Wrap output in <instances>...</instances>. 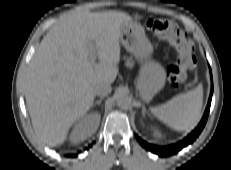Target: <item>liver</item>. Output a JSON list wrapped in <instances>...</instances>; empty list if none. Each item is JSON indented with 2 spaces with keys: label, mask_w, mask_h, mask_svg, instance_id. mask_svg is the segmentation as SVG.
I'll return each mask as SVG.
<instances>
[{
  "label": "liver",
  "mask_w": 231,
  "mask_h": 170,
  "mask_svg": "<svg viewBox=\"0 0 231 170\" xmlns=\"http://www.w3.org/2000/svg\"><path fill=\"white\" fill-rule=\"evenodd\" d=\"M130 20L124 12H89L79 6L62 15L43 38L24 81L33 129L42 142L63 144L72 125L93 106L95 84L114 82L120 28Z\"/></svg>",
  "instance_id": "1"
}]
</instances>
